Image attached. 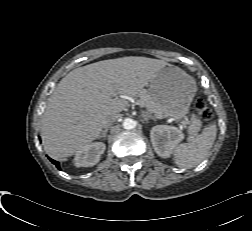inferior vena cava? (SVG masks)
Returning a JSON list of instances; mask_svg holds the SVG:
<instances>
[{
  "label": "inferior vena cava",
  "mask_w": 252,
  "mask_h": 231,
  "mask_svg": "<svg viewBox=\"0 0 252 231\" xmlns=\"http://www.w3.org/2000/svg\"><path fill=\"white\" fill-rule=\"evenodd\" d=\"M118 114L109 115L104 121V127L107 128L111 124H113L118 119Z\"/></svg>",
  "instance_id": "1"
}]
</instances>
